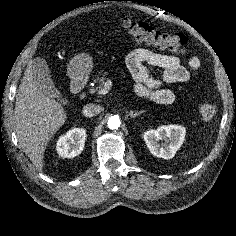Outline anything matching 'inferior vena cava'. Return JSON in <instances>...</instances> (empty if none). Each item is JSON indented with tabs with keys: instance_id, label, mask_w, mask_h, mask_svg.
<instances>
[{
	"instance_id": "1",
	"label": "inferior vena cava",
	"mask_w": 236,
	"mask_h": 236,
	"mask_svg": "<svg viewBox=\"0 0 236 236\" xmlns=\"http://www.w3.org/2000/svg\"><path fill=\"white\" fill-rule=\"evenodd\" d=\"M101 111H102L101 106L97 104L89 103L83 107L82 113L86 117H93L99 114Z\"/></svg>"
}]
</instances>
